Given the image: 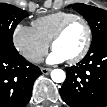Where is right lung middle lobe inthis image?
<instances>
[{
	"instance_id": "1",
	"label": "right lung middle lobe",
	"mask_w": 107,
	"mask_h": 107,
	"mask_svg": "<svg viewBox=\"0 0 107 107\" xmlns=\"http://www.w3.org/2000/svg\"><path fill=\"white\" fill-rule=\"evenodd\" d=\"M28 16V13L13 5L0 4V51L18 54L13 44V32L17 24Z\"/></svg>"
}]
</instances>
